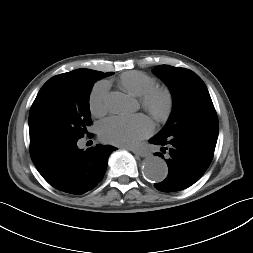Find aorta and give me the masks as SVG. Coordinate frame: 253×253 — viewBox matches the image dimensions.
Returning a JSON list of instances; mask_svg holds the SVG:
<instances>
[{
    "mask_svg": "<svg viewBox=\"0 0 253 253\" xmlns=\"http://www.w3.org/2000/svg\"><path fill=\"white\" fill-rule=\"evenodd\" d=\"M106 103L109 109L117 113L127 112L132 106V100L122 92H111ZM142 174L151 182H162L168 174L167 164L160 157L149 156L143 161Z\"/></svg>",
    "mask_w": 253,
    "mask_h": 253,
    "instance_id": "aorta-1",
    "label": "aorta"
}]
</instances>
